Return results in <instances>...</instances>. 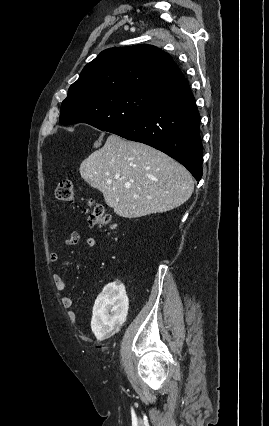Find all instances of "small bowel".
Here are the masks:
<instances>
[{
    "label": "small bowel",
    "instance_id": "small-bowel-1",
    "mask_svg": "<svg viewBox=\"0 0 269 426\" xmlns=\"http://www.w3.org/2000/svg\"><path fill=\"white\" fill-rule=\"evenodd\" d=\"M79 240H80L79 234L76 231H71L68 237L63 241V245L74 246L78 244ZM86 244L93 251H96L98 249V241L95 238H92V237L87 238ZM58 258H59V254L56 251L51 252L49 254V260L52 263L56 262ZM53 282L57 290L65 291L67 289V284L60 272L54 273ZM61 304L64 308H71L73 305V300L71 296L69 295L62 296Z\"/></svg>",
    "mask_w": 269,
    "mask_h": 426
}]
</instances>
